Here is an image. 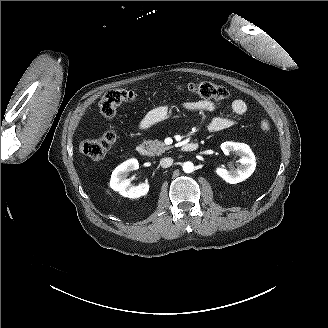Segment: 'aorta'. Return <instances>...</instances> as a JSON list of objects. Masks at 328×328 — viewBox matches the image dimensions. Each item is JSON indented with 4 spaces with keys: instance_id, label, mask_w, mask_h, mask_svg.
I'll use <instances>...</instances> for the list:
<instances>
[{
    "instance_id": "762f6f07",
    "label": "aorta",
    "mask_w": 328,
    "mask_h": 328,
    "mask_svg": "<svg viewBox=\"0 0 328 328\" xmlns=\"http://www.w3.org/2000/svg\"><path fill=\"white\" fill-rule=\"evenodd\" d=\"M182 168L185 173H191L194 171V165L190 161L184 162Z\"/></svg>"
}]
</instances>
